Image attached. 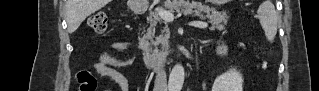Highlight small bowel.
<instances>
[{"label": "small bowel", "mask_w": 319, "mask_h": 91, "mask_svg": "<svg viewBox=\"0 0 319 91\" xmlns=\"http://www.w3.org/2000/svg\"><path fill=\"white\" fill-rule=\"evenodd\" d=\"M111 47L121 53H129V46L123 41H113ZM226 52V43L221 40L217 45V53L219 56L223 57L226 55ZM131 64L132 60L130 57L117 58L107 53H101L98 55L97 61L93 64V69L96 72L113 79L123 91H128L129 81L119 72V69L128 68Z\"/></svg>", "instance_id": "obj_1"}]
</instances>
